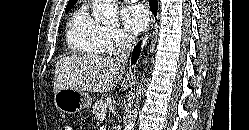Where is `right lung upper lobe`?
Listing matches in <instances>:
<instances>
[{
  "label": "right lung upper lobe",
  "mask_w": 249,
  "mask_h": 130,
  "mask_svg": "<svg viewBox=\"0 0 249 130\" xmlns=\"http://www.w3.org/2000/svg\"><path fill=\"white\" fill-rule=\"evenodd\" d=\"M76 2H77V0H69L68 5L75 4Z\"/></svg>",
  "instance_id": "obj_1"
}]
</instances>
